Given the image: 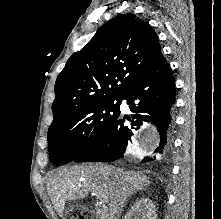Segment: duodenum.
Returning a JSON list of instances; mask_svg holds the SVG:
<instances>
[{
    "mask_svg": "<svg viewBox=\"0 0 221 219\" xmlns=\"http://www.w3.org/2000/svg\"><path fill=\"white\" fill-rule=\"evenodd\" d=\"M98 216H99L100 219H111L103 213H99Z\"/></svg>",
    "mask_w": 221,
    "mask_h": 219,
    "instance_id": "duodenum-1",
    "label": "duodenum"
}]
</instances>
